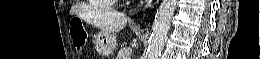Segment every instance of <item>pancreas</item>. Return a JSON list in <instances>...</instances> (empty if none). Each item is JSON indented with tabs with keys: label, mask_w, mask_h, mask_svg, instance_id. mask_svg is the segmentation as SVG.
Returning a JSON list of instances; mask_svg holds the SVG:
<instances>
[{
	"label": "pancreas",
	"mask_w": 261,
	"mask_h": 59,
	"mask_svg": "<svg viewBox=\"0 0 261 59\" xmlns=\"http://www.w3.org/2000/svg\"><path fill=\"white\" fill-rule=\"evenodd\" d=\"M131 48L125 47L121 49L117 54V59H126V57L131 53Z\"/></svg>",
	"instance_id": "cf45deb5"
}]
</instances>
